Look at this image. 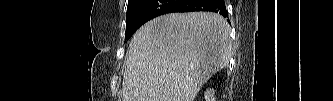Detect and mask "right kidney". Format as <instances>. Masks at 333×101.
<instances>
[{"label":"right kidney","mask_w":333,"mask_h":101,"mask_svg":"<svg viewBox=\"0 0 333 101\" xmlns=\"http://www.w3.org/2000/svg\"><path fill=\"white\" fill-rule=\"evenodd\" d=\"M215 91L213 89H207L205 92V100L206 101H215Z\"/></svg>","instance_id":"1"}]
</instances>
